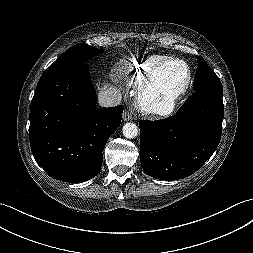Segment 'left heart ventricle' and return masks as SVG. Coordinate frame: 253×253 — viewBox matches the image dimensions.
Returning a JSON list of instances; mask_svg holds the SVG:
<instances>
[{"instance_id":"1","label":"left heart ventricle","mask_w":253,"mask_h":253,"mask_svg":"<svg viewBox=\"0 0 253 253\" xmlns=\"http://www.w3.org/2000/svg\"><path fill=\"white\" fill-rule=\"evenodd\" d=\"M186 75L187 72L183 65L178 63L168 64L157 75L154 89L158 91L176 90L184 84Z\"/></svg>"}]
</instances>
